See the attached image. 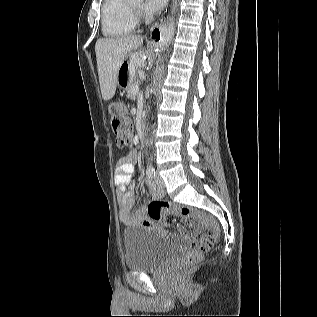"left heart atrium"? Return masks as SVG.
<instances>
[{"label": "left heart atrium", "instance_id": "39dd6f15", "mask_svg": "<svg viewBox=\"0 0 317 317\" xmlns=\"http://www.w3.org/2000/svg\"><path fill=\"white\" fill-rule=\"evenodd\" d=\"M167 0H145L144 8L148 13H155L162 9Z\"/></svg>", "mask_w": 317, "mask_h": 317}]
</instances>
